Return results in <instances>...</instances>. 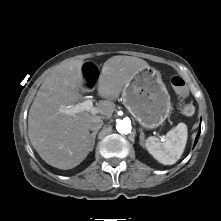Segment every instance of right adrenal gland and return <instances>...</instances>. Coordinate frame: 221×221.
I'll list each match as a JSON object with an SVG mask.
<instances>
[{"label": "right adrenal gland", "mask_w": 221, "mask_h": 221, "mask_svg": "<svg viewBox=\"0 0 221 221\" xmlns=\"http://www.w3.org/2000/svg\"><path fill=\"white\" fill-rule=\"evenodd\" d=\"M98 131L93 132L90 136L92 138V145L94 147L95 145V139H96V135H97Z\"/></svg>", "instance_id": "2a0ac1e0"}]
</instances>
